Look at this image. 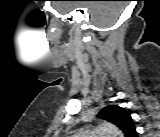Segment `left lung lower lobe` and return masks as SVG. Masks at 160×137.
Listing matches in <instances>:
<instances>
[{"instance_id":"left-lung-lower-lobe-1","label":"left lung lower lobe","mask_w":160,"mask_h":137,"mask_svg":"<svg viewBox=\"0 0 160 137\" xmlns=\"http://www.w3.org/2000/svg\"><path fill=\"white\" fill-rule=\"evenodd\" d=\"M128 136L136 137L137 136L136 130L134 129Z\"/></svg>"}]
</instances>
